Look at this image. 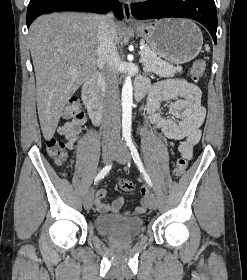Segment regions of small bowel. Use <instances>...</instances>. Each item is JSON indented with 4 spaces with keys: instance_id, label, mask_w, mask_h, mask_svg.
<instances>
[{
    "instance_id": "obj_1",
    "label": "small bowel",
    "mask_w": 247,
    "mask_h": 280,
    "mask_svg": "<svg viewBox=\"0 0 247 280\" xmlns=\"http://www.w3.org/2000/svg\"><path fill=\"white\" fill-rule=\"evenodd\" d=\"M148 86L146 80L141 79L139 89ZM201 90L195 84L185 80H164L153 85L147 101V113L150 122L161 130L164 137L173 144L178 141L179 153L184 159H191L193 150L201 137L200 127L205 119V108L201 105ZM162 101H170L172 117L164 118L158 113ZM85 117L73 118L58 127L57 133L66 140V148L73 149L75 141L83 134ZM143 196L135 213H144L147 209L148 191L141 189ZM108 196L106 189H99L95 197V207L101 213H118L124 204L123 197H117L111 203L105 199Z\"/></svg>"
}]
</instances>
